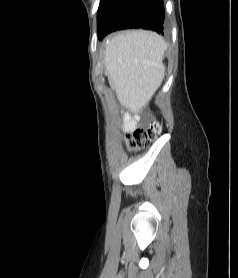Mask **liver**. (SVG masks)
Wrapping results in <instances>:
<instances>
[{"instance_id":"liver-1","label":"liver","mask_w":238,"mask_h":278,"mask_svg":"<svg viewBox=\"0 0 238 278\" xmlns=\"http://www.w3.org/2000/svg\"><path fill=\"white\" fill-rule=\"evenodd\" d=\"M167 43L157 33L132 30L112 37L105 48V74L121 106L132 112L145 109L160 87Z\"/></svg>"}]
</instances>
